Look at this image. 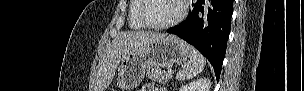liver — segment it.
I'll return each instance as SVG.
<instances>
[{
  "label": "liver",
  "mask_w": 304,
  "mask_h": 91,
  "mask_svg": "<svg viewBox=\"0 0 304 91\" xmlns=\"http://www.w3.org/2000/svg\"><path fill=\"white\" fill-rule=\"evenodd\" d=\"M165 36L160 33L124 32L115 37L99 61L95 91H105L111 84L121 60L130 53L144 48L153 38Z\"/></svg>",
  "instance_id": "1"
}]
</instances>
